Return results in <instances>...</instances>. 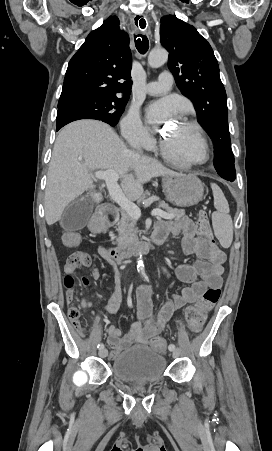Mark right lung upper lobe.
Instances as JSON below:
<instances>
[{
    "label": "right lung upper lobe",
    "mask_w": 272,
    "mask_h": 451,
    "mask_svg": "<svg viewBox=\"0 0 272 451\" xmlns=\"http://www.w3.org/2000/svg\"><path fill=\"white\" fill-rule=\"evenodd\" d=\"M110 16L92 31L71 58L59 100L81 96H117L131 92L129 37Z\"/></svg>",
    "instance_id": "cb5924a9"
}]
</instances>
